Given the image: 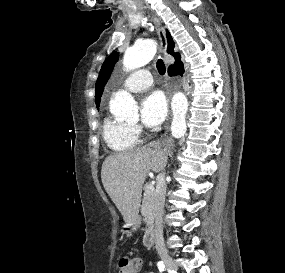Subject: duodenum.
Wrapping results in <instances>:
<instances>
[{"instance_id":"duodenum-1","label":"duodenum","mask_w":285,"mask_h":273,"mask_svg":"<svg viewBox=\"0 0 285 273\" xmlns=\"http://www.w3.org/2000/svg\"><path fill=\"white\" fill-rule=\"evenodd\" d=\"M154 239H155L154 227L151 226L144 235L143 238L144 245L150 247L154 243Z\"/></svg>"}]
</instances>
